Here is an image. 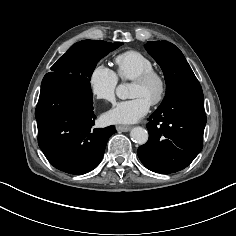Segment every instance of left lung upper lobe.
<instances>
[{"mask_svg":"<svg viewBox=\"0 0 236 236\" xmlns=\"http://www.w3.org/2000/svg\"><path fill=\"white\" fill-rule=\"evenodd\" d=\"M145 48L160 65L164 73L166 96L161 105L179 89L199 85L184 55L174 44L167 41H153L147 42Z\"/></svg>","mask_w":236,"mask_h":236,"instance_id":"1","label":"left lung upper lobe"}]
</instances>
